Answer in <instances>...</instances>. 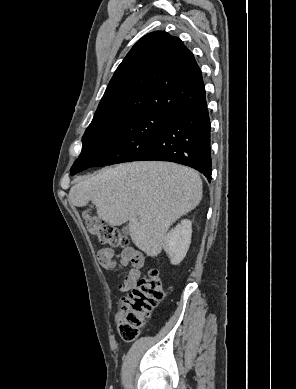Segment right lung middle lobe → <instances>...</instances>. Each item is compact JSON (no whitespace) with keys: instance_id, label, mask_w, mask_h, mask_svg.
Here are the masks:
<instances>
[{"instance_id":"obj_1","label":"right lung middle lobe","mask_w":296,"mask_h":389,"mask_svg":"<svg viewBox=\"0 0 296 389\" xmlns=\"http://www.w3.org/2000/svg\"><path fill=\"white\" fill-rule=\"evenodd\" d=\"M172 119L158 113H112L93 118L71 169L82 164L92 167L137 161Z\"/></svg>"}]
</instances>
